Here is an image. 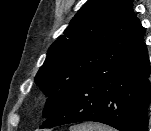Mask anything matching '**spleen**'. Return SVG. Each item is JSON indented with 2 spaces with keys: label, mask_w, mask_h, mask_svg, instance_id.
Listing matches in <instances>:
<instances>
[{
  "label": "spleen",
  "mask_w": 151,
  "mask_h": 131,
  "mask_svg": "<svg viewBox=\"0 0 151 131\" xmlns=\"http://www.w3.org/2000/svg\"><path fill=\"white\" fill-rule=\"evenodd\" d=\"M70 131H116V130L103 124L88 123L72 126L70 128Z\"/></svg>",
  "instance_id": "obj_1"
}]
</instances>
